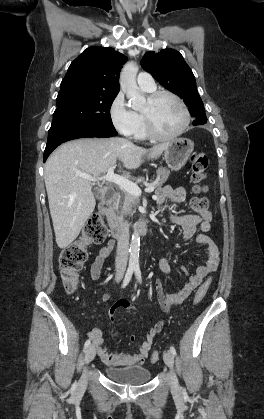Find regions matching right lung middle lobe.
<instances>
[{"label":"right lung middle lobe","instance_id":"right-lung-middle-lobe-1","mask_svg":"<svg viewBox=\"0 0 264 419\" xmlns=\"http://www.w3.org/2000/svg\"><path fill=\"white\" fill-rule=\"evenodd\" d=\"M116 96L117 93L95 91L82 85L61 87L48 141L81 127L115 130L110 108Z\"/></svg>","mask_w":264,"mask_h":419}]
</instances>
